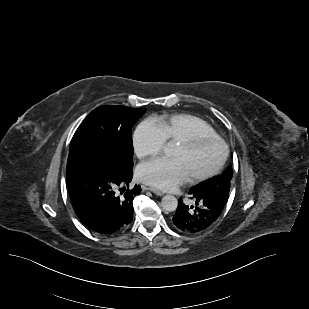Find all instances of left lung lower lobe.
<instances>
[{"label":"left lung lower lobe","mask_w":309,"mask_h":309,"mask_svg":"<svg viewBox=\"0 0 309 309\" xmlns=\"http://www.w3.org/2000/svg\"><path fill=\"white\" fill-rule=\"evenodd\" d=\"M188 194L195 204L188 206L180 199L172 220L179 231L197 234L211 227L219 219L228 196L209 193L196 186L192 187Z\"/></svg>","instance_id":"obj_1"}]
</instances>
